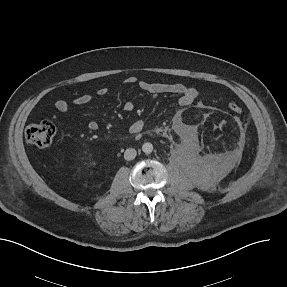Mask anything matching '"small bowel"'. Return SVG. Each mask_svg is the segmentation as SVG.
Segmentation results:
<instances>
[{
  "label": "small bowel",
  "mask_w": 287,
  "mask_h": 287,
  "mask_svg": "<svg viewBox=\"0 0 287 287\" xmlns=\"http://www.w3.org/2000/svg\"><path fill=\"white\" fill-rule=\"evenodd\" d=\"M126 84H137L140 89L143 91L152 93V94H174L178 96V103L180 106L185 107L191 105L198 97L197 89L187 86L183 83L173 82H150L146 80H138L136 77H128L124 81ZM107 93V89L102 87L98 90L99 95H105ZM93 97L90 94H83L78 96L73 100V104L76 105H84L90 103ZM71 103L67 100H58L55 103V108L58 112L64 113L70 109ZM134 105L132 102L127 101L124 104V110L131 111L133 110ZM99 127L98 123L95 121H91L88 124V128L91 131L97 130ZM145 127V124L142 120L134 121L128 128L130 133H139Z\"/></svg>",
  "instance_id": "c3829d8e"
}]
</instances>
